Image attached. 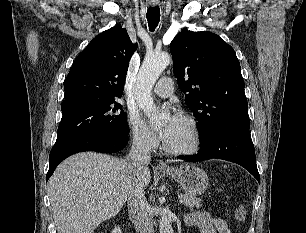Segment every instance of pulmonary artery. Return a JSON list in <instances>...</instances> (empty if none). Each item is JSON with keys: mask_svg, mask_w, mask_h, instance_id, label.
Here are the masks:
<instances>
[{"mask_svg": "<svg viewBox=\"0 0 306 233\" xmlns=\"http://www.w3.org/2000/svg\"><path fill=\"white\" fill-rule=\"evenodd\" d=\"M174 82L170 77H163L155 86L153 92L156 96L167 98L173 93Z\"/></svg>", "mask_w": 306, "mask_h": 233, "instance_id": "e3ab8cb5", "label": "pulmonary artery"}]
</instances>
